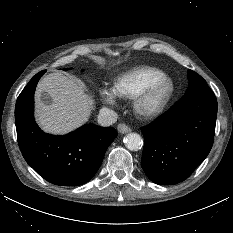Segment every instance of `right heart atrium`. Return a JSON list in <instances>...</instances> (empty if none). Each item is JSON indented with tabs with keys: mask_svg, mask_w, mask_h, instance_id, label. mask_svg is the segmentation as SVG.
I'll list each match as a JSON object with an SVG mask.
<instances>
[{
	"mask_svg": "<svg viewBox=\"0 0 233 233\" xmlns=\"http://www.w3.org/2000/svg\"><path fill=\"white\" fill-rule=\"evenodd\" d=\"M99 95L103 103L112 106L116 104L119 97L115 89L111 87L101 88Z\"/></svg>",
	"mask_w": 233,
	"mask_h": 233,
	"instance_id": "1",
	"label": "right heart atrium"
}]
</instances>
